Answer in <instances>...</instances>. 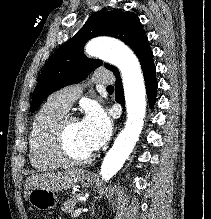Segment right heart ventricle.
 Wrapping results in <instances>:
<instances>
[{"label": "right heart ventricle", "instance_id": "1", "mask_svg": "<svg viewBox=\"0 0 211 219\" xmlns=\"http://www.w3.org/2000/svg\"><path fill=\"white\" fill-rule=\"evenodd\" d=\"M66 111L49 99L33 117L28 137L29 160L37 171H52L67 165L55 155L51 145L53 126Z\"/></svg>", "mask_w": 211, "mask_h": 219}]
</instances>
